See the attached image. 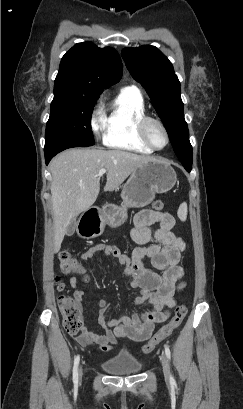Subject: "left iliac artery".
Returning <instances> with one entry per match:
<instances>
[{"instance_id":"44dca946","label":"left iliac artery","mask_w":243,"mask_h":409,"mask_svg":"<svg viewBox=\"0 0 243 409\" xmlns=\"http://www.w3.org/2000/svg\"><path fill=\"white\" fill-rule=\"evenodd\" d=\"M164 347H165V354H166L167 358L170 360V359H171L170 349H169V347H168L167 345H165ZM170 380H171V381H174V378L171 376V377H170Z\"/></svg>"}]
</instances>
